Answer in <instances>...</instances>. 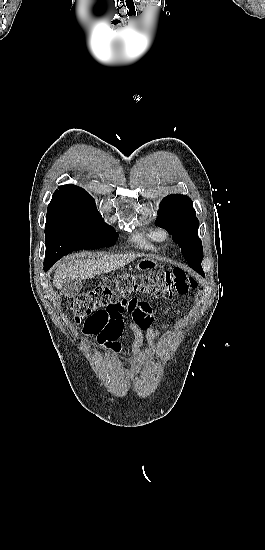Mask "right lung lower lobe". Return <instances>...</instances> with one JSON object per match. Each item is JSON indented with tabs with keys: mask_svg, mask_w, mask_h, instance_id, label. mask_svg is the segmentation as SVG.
<instances>
[{
	"mask_svg": "<svg viewBox=\"0 0 265 550\" xmlns=\"http://www.w3.org/2000/svg\"><path fill=\"white\" fill-rule=\"evenodd\" d=\"M53 264L52 263H46L44 262V270L47 271L50 269V267L52 266Z\"/></svg>",
	"mask_w": 265,
	"mask_h": 550,
	"instance_id": "obj_1",
	"label": "right lung lower lobe"
}]
</instances>
